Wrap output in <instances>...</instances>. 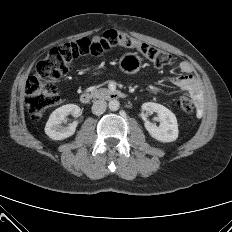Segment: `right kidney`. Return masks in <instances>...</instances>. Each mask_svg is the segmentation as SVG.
Masks as SVG:
<instances>
[{
  "instance_id": "right-kidney-1",
  "label": "right kidney",
  "mask_w": 232,
  "mask_h": 232,
  "mask_svg": "<svg viewBox=\"0 0 232 232\" xmlns=\"http://www.w3.org/2000/svg\"><path fill=\"white\" fill-rule=\"evenodd\" d=\"M70 114L78 117L80 107L75 104H66L54 110L46 123L45 133L53 140H63L72 136L75 133L77 121H74L68 127L61 125L65 117Z\"/></svg>"
}]
</instances>
